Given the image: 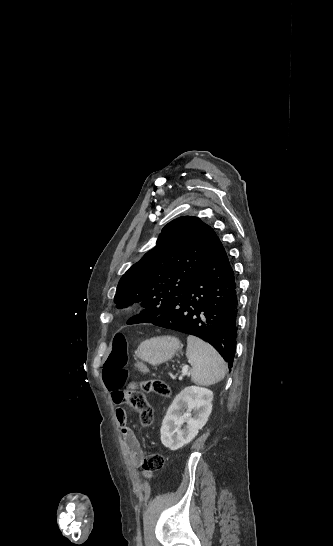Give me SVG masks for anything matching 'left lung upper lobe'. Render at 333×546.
Listing matches in <instances>:
<instances>
[{"instance_id":"obj_1","label":"left lung upper lobe","mask_w":333,"mask_h":546,"mask_svg":"<svg viewBox=\"0 0 333 546\" xmlns=\"http://www.w3.org/2000/svg\"><path fill=\"white\" fill-rule=\"evenodd\" d=\"M216 239L214 230L197 217L168 223L156 246L121 277L114 298L117 307L142 301L145 309L139 315L154 321L190 286Z\"/></svg>"}]
</instances>
